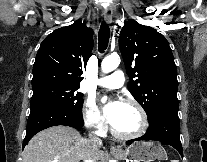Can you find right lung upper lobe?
<instances>
[{
	"label": "right lung upper lobe",
	"instance_id": "1",
	"mask_svg": "<svg viewBox=\"0 0 207 162\" xmlns=\"http://www.w3.org/2000/svg\"><path fill=\"white\" fill-rule=\"evenodd\" d=\"M92 34L80 21L49 34L36 56L32 87L46 84L80 87L82 69L93 47Z\"/></svg>",
	"mask_w": 207,
	"mask_h": 162
}]
</instances>
